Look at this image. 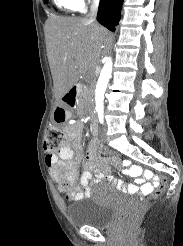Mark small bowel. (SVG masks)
Instances as JSON below:
<instances>
[{
	"label": "small bowel",
	"mask_w": 183,
	"mask_h": 246,
	"mask_svg": "<svg viewBox=\"0 0 183 246\" xmlns=\"http://www.w3.org/2000/svg\"><path fill=\"white\" fill-rule=\"evenodd\" d=\"M91 130L94 135L98 132L95 124ZM66 134L65 144L56 153H48L45 163L55 181L66 179L76 182L77 191L70 195L73 200L86 198L89 195V187L98 182H107L124 193L135 194L140 191L147 195L153 190V185L146 183V179H150L151 182L161 181L160 174H152V170L134 167L131 162L124 160L121 166L134 183L125 185L122 180L113 178L108 169L101 164L97 156L98 151H88L86 166L76 180V166L81 162L83 156L81 136L78 131L73 129H67ZM93 172H96L95 176H93Z\"/></svg>",
	"instance_id": "c3829d8e"
}]
</instances>
